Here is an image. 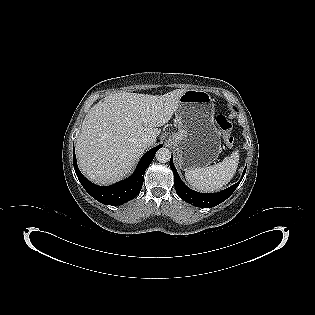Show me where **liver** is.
<instances>
[{
    "label": "liver",
    "mask_w": 315,
    "mask_h": 315,
    "mask_svg": "<svg viewBox=\"0 0 315 315\" xmlns=\"http://www.w3.org/2000/svg\"><path fill=\"white\" fill-rule=\"evenodd\" d=\"M185 91L176 89L164 95L120 92L95 104L76 142L81 172L99 185L129 174L148 147L142 138L151 136L156 142L161 132L157 127L172 118Z\"/></svg>",
    "instance_id": "1"
}]
</instances>
